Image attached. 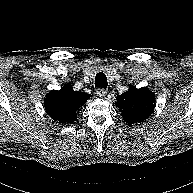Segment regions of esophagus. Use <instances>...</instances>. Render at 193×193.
Wrapping results in <instances>:
<instances>
[{"mask_svg":"<svg viewBox=\"0 0 193 193\" xmlns=\"http://www.w3.org/2000/svg\"><path fill=\"white\" fill-rule=\"evenodd\" d=\"M96 93L99 97H104L107 94V90L103 89V88H98L96 90Z\"/></svg>","mask_w":193,"mask_h":193,"instance_id":"1","label":"esophagus"}]
</instances>
